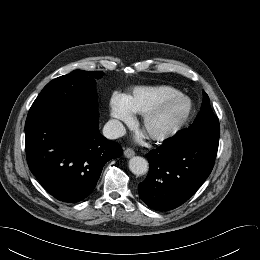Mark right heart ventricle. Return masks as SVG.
I'll use <instances>...</instances> for the list:
<instances>
[{"label":"right heart ventricle","mask_w":260,"mask_h":260,"mask_svg":"<svg viewBox=\"0 0 260 260\" xmlns=\"http://www.w3.org/2000/svg\"><path fill=\"white\" fill-rule=\"evenodd\" d=\"M180 93L176 88L167 85L138 86L126 96V102L131 112L143 114L149 108L164 98Z\"/></svg>","instance_id":"e07e8e85"}]
</instances>
